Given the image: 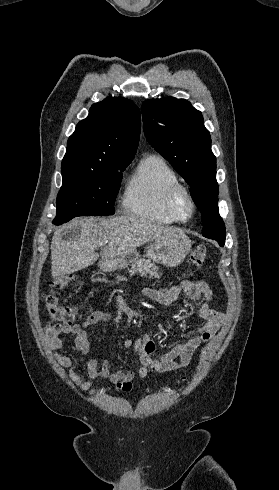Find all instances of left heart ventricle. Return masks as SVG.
<instances>
[{"label": "left heart ventricle", "mask_w": 279, "mask_h": 490, "mask_svg": "<svg viewBox=\"0 0 279 490\" xmlns=\"http://www.w3.org/2000/svg\"><path fill=\"white\" fill-rule=\"evenodd\" d=\"M189 211V204L185 198L182 199L181 202V214L182 216H186Z\"/></svg>", "instance_id": "obj_1"}]
</instances>
